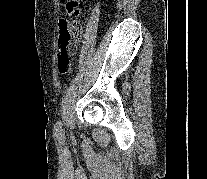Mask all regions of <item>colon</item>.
<instances>
[{"label": "colon", "mask_w": 207, "mask_h": 179, "mask_svg": "<svg viewBox=\"0 0 207 179\" xmlns=\"http://www.w3.org/2000/svg\"><path fill=\"white\" fill-rule=\"evenodd\" d=\"M80 0H65L66 9L73 13L75 17L81 14L79 6ZM82 36V28L80 24L74 20L67 22L66 20L60 24V40L58 49V66L61 74L68 73L71 64V43L80 41Z\"/></svg>", "instance_id": "colon-1"}]
</instances>
